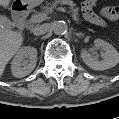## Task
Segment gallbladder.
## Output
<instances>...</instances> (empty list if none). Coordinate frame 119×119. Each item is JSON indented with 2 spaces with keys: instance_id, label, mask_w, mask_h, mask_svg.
Wrapping results in <instances>:
<instances>
[{
  "instance_id": "bac80fb5",
  "label": "gallbladder",
  "mask_w": 119,
  "mask_h": 119,
  "mask_svg": "<svg viewBox=\"0 0 119 119\" xmlns=\"http://www.w3.org/2000/svg\"><path fill=\"white\" fill-rule=\"evenodd\" d=\"M0 26L4 29H9L12 27V22L6 16L0 15Z\"/></svg>"
}]
</instances>
